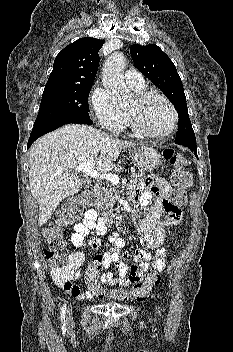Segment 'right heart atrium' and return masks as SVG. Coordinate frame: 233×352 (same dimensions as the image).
Returning a JSON list of instances; mask_svg holds the SVG:
<instances>
[{"label":"right heart atrium","instance_id":"d8ad5b80","mask_svg":"<svg viewBox=\"0 0 233 352\" xmlns=\"http://www.w3.org/2000/svg\"><path fill=\"white\" fill-rule=\"evenodd\" d=\"M92 109L98 123L112 132H120L126 125L127 115L112 96L97 87L91 95Z\"/></svg>","mask_w":233,"mask_h":352}]
</instances>
